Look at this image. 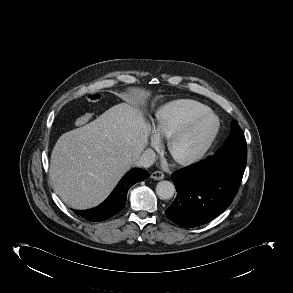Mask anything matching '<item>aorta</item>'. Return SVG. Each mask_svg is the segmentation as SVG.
Returning <instances> with one entry per match:
<instances>
[{
	"mask_svg": "<svg viewBox=\"0 0 293 293\" xmlns=\"http://www.w3.org/2000/svg\"><path fill=\"white\" fill-rule=\"evenodd\" d=\"M175 186L170 181H160L156 185V194L160 199L168 200L174 196Z\"/></svg>",
	"mask_w": 293,
	"mask_h": 293,
	"instance_id": "1",
	"label": "aorta"
}]
</instances>
